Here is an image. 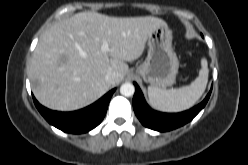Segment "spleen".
I'll return each mask as SVG.
<instances>
[{
    "instance_id": "3e777b00",
    "label": "spleen",
    "mask_w": 248,
    "mask_h": 165,
    "mask_svg": "<svg viewBox=\"0 0 248 165\" xmlns=\"http://www.w3.org/2000/svg\"><path fill=\"white\" fill-rule=\"evenodd\" d=\"M208 74L207 60L202 58L199 76L189 86L170 90L149 86V101L154 108L164 112H180L189 109L204 93L208 82Z\"/></svg>"
}]
</instances>
